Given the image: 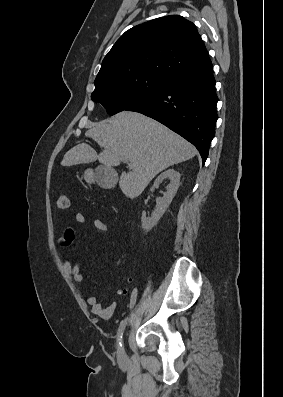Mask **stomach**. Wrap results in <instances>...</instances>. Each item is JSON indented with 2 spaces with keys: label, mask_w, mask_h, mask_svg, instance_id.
<instances>
[{
  "label": "stomach",
  "mask_w": 283,
  "mask_h": 397,
  "mask_svg": "<svg viewBox=\"0 0 283 397\" xmlns=\"http://www.w3.org/2000/svg\"><path fill=\"white\" fill-rule=\"evenodd\" d=\"M94 178H95V174L93 172L92 169H87L84 172V179L88 182V183H92L94 182Z\"/></svg>",
  "instance_id": "1"
}]
</instances>
